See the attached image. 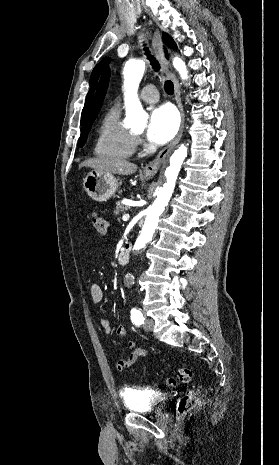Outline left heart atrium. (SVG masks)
Here are the masks:
<instances>
[{
	"instance_id": "obj_1",
	"label": "left heart atrium",
	"mask_w": 279,
	"mask_h": 465,
	"mask_svg": "<svg viewBox=\"0 0 279 465\" xmlns=\"http://www.w3.org/2000/svg\"><path fill=\"white\" fill-rule=\"evenodd\" d=\"M179 127V118L175 109L170 105L154 108L150 114L146 137L154 144H164L170 141Z\"/></svg>"
}]
</instances>
